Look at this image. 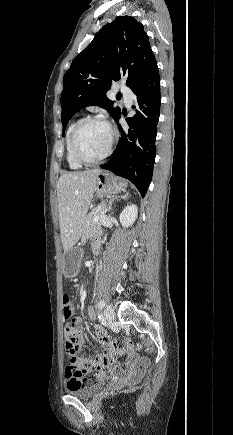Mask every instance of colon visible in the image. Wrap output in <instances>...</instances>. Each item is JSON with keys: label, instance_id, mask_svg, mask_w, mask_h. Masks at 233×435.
I'll list each match as a JSON object with an SVG mask.
<instances>
[{"label": "colon", "instance_id": "5ec220e1", "mask_svg": "<svg viewBox=\"0 0 233 435\" xmlns=\"http://www.w3.org/2000/svg\"><path fill=\"white\" fill-rule=\"evenodd\" d=\"M73 309L71 306V301L69 297L65 294L63 296V315L66 319H69L73 316ZM64 339H65V358L69 365H73L75 367L79 366L77 353L79 351L78 341H79V331L74 323H68L64 328ZM124 345H129V342L126 341ZM117 348V343L114 340H110L105 345V352L111 353L114 352ZM101 366L100 362H96L94 367L99 368ZM87 370L84 368L78 369V375L84 379H81L75 386L83 387L91 383L90 380L86 379Z\"/></svg>", "mask_w": 233, "mask_h": 435}]
</instances>
